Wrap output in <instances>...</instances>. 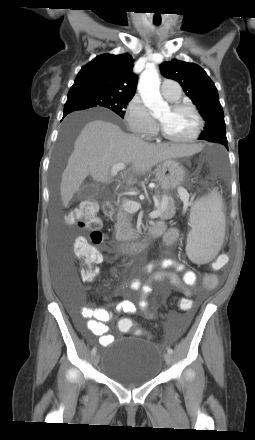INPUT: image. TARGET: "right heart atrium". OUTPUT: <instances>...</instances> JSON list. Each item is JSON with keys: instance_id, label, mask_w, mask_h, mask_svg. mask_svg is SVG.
<instances>
[{"instance_id": "obj_1", "label": "right heart atrium", "mask_w": 255, "mask_h": 440, "mask_svg": "<svg viewBox=\"0 0 255 440\" xmlns=\"http://www.w3.org/2000/svg\"><path fill=\"white\" fill-rule=\"evenodd\" d=\"M125 120L129 130L139 136H152L157 130L155 121L139 97H134L129 102Z\"/></svg>"}]
</instances>
